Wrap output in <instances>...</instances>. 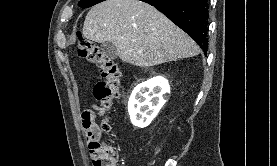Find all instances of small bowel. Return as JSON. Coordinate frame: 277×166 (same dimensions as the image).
Instances as JSON below:
<instances>
[{
    "label": "small bowel",
    "mask_w": 277,
    "mask_h": 166,
    "mask_svg": "<svg viewBox=\"0 0 277 166\" xmlns=\"http://www.w3.org/2000/svg\"><path fill=\"white\" fill-rule=\"evenodd\" d=\"M90 113L91 116V120L96 124V118L98 117V115L101 114L100 109L97 106H94L92 109L86 110ZM83 112L82 114V124L85 122L86 116H85V112Z\"/></svg>",
    "instance_id": "small-bowel-1"
}]
</instances>
